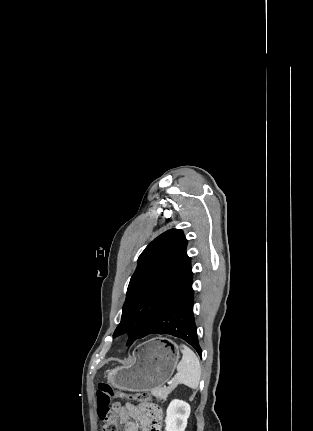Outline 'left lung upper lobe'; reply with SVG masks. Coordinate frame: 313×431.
Segmentation results:
<instances>
[{
    "mask_svg": "<svg viewBox=\"0 0 313 431\" xmlns=\"http://www.w3.org/2000/svg\"><path fill=\"white\" fill-rule=\"evenodd\" d=\"M186 247L183 232L171 229L145 248L131 277L121 322L114 337L128 332L130 345L159 310L192 282L191 260Z\"/></svg>",
    "mask_w": 313,
    "mask_h": 431,
    "instance_id": "left-lung-upper-lobe-1",
    "label": "left lung upper lobe"
}]
</instances>
